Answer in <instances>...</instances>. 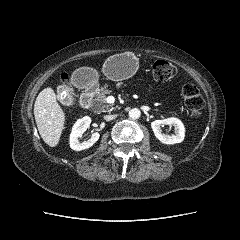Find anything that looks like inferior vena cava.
Segmentation results:
<instances>
[{"mask_svg":"<svg viewBox=\"0 0 240 240\" xmlns=\"http://www.w3.org/2000/svg\"><path fill=\"white\" fill-rule=\"evenodd\" d=\"M116 118V115H105L104 116V119L106 120V121H110V120H113V119H115Z\"/></svg>","mask_w":240,"mask_h":240,"instance_id":"1","label":"inferior vena cava"}]
</instances>
